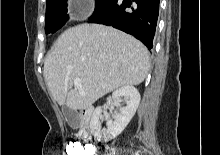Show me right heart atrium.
I'll return each instance as SVG.
<instances>
[{"mask_svg": "<svg viewBox=\"0 0 220 155\" xmlns=\"http://www.w3.org/2000/svg\"><path fill=\"white\" fill-rule=\"evenodd\" d=\"M93 12V7L91 4L84 2L82 5L78 7L77 13L75 17L77 19H84L88 16H90Z\"/></svg>", "mask_w": 220, "mask_h": 155, "instance_id": "right-heart-atrium-1", "label": "right heart atrium"}]
</instances>
